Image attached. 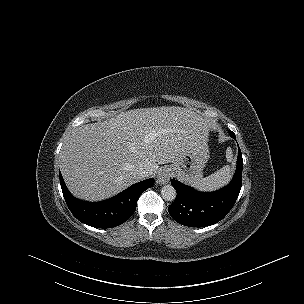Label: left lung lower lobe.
<instances>
[{"label": "left lung lower lobe", "instance_id": "left-lung-lower-lobe-1", "mask_svg": "<svg viewBox=\"0 0 304 304\" xmlns=\"http://www.w3.org/2000/svg\"><path fill=\"white\" fill-rule=\"evenodd\" d=\"M236 139L235 137H233ZM243 159L239 148L237 168L226 187L215 192H199L172 179L177 191L175 201L169 206L174 220L189 227H205L222 220L234 206L242 186Z\"/></svg>", "mask_w": 304, "mask_h": 304}]
</instances>
